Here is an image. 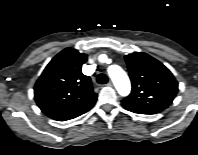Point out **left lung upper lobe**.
Wrapping results in <instances>:
<instances>
[{
	"label": "left lung upper lobe",
	"mask_w": 198,
	"mask_h": 155,
	"mask_svg": "<svg viewBox=\"0 0 198 155\" xmlns=\"http://www.w3.org/2000/svg\"><path fill=\"white\" fill-rule=\"evenodd\" d=\"M132 91L122 100V106L138 114H155L166 109L178 92L172 73L146 53L126 55Z\"/></svg>",
	"instance_id": "5c2ea615"
}]
</instances>
